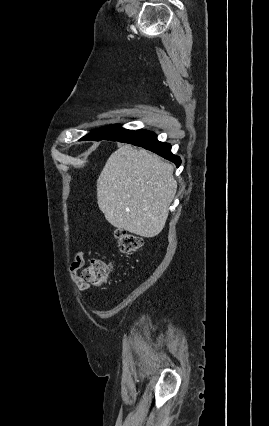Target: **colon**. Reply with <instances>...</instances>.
<instances>
[{"label": "colon", "mask_w": 269, "mask_h": 426, "mask_svg": "<svg viewBox=\"0 0 269 426\" xmlns=\"http://www.w3.org/2000/svg\"><path fill=\"white\" fill-rule=\"evenodd\" d=\"M118 246L122 253L132 255L143 250L144 242L137 236L126 230L119 229L115 233ZM113 266L110 262L101 258H93L82 272V279L93 286L99 287L106 283Z\"/></svg>", "instance_id": "obj_1"}]
</instances>
